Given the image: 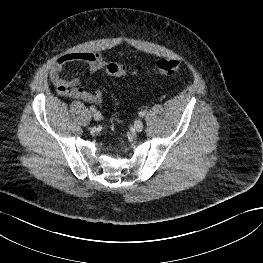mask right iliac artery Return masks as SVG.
Returning a JSON list of instances; mask_svg holds the SVG:
<instances>
[{
	"label": "right iliac artery",
	"mask_w": 263,
	"mask_h": 263,
	"mask_svg": "<svg viewBox=\"0 0 263 263\" xmlns=\"http://www.w3.org/2000/svg\"><path fill=\"white\" fill-rule=\"evenodd\" d=\"M90 110H91L92 112H95V111H96V108H95L94 106H91V107H90Z\"/></svg>",
	"instance_id": "1"
}]
</instances>
